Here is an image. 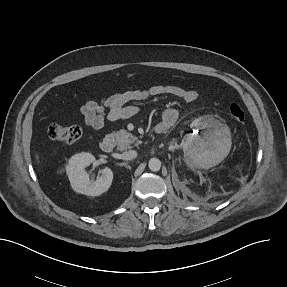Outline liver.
<instances>
[{"label":"liver","mask_w":287,"mask_h":287,"mask_svg":"<svg viewBox=\"0 0 287 287\" xmlns=\"http://www.w3.org/2000/svg\"><path fill=\"white\" fill-rule=\"evenodd\" d=\"M35 157H36V161H37V163H39V154L36 152V154H35Z\"/></svg>","instance_id":"6515ba94"}]
</instances>
